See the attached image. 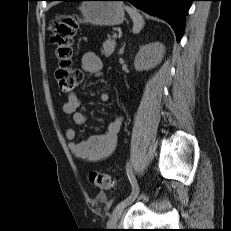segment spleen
Wrapping results in <instances>:
<instances>
[{
    "mask_svg": "<svg viewBox=\"0 0 231 231\" xmlns=\"http://www.w3.org/2000/svg\"><path fill=\"white\" fill-rule=\"evenodd\" d=\"M125 9L133 21V33H139L145 24L142 15H140L138 11L132 7L125 6Z\"/></svg>",
    "mask_w": 231,
    "mask_h": 231,
    "instance_id": "3e777b00",
    "label": "spleen"
}]
</instances>
